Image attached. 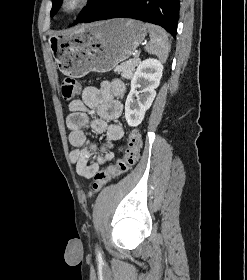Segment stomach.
I'll use <instances>...</instances> for the list:
<instances>
[{
    "instance_id": "0dacf381",
    "label": "stomach",
    "mask_w": 247,
    "mask_h": 280,
    "mask_svg": "<svg viewBox=\"0 0 247 280\" xmlns=\"http://www.w3.org/2000/svg\"><path fill=\"white\" fill-rule=\"evenodd\" d=\"M146 26L134 19H111L84 25L49 38L60 71L67 76L108 72L128 59L146 36Z\"/></svg>"
}]
</instances>
